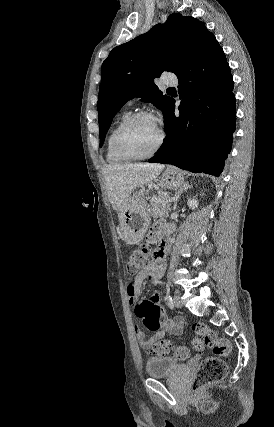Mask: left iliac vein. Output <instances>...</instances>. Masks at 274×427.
Returning a JSON list of instances; mask_svg holds the SVG:
<instances>
[{
  "mask_svg": "<svg viewBox=\"0 0 274 427\" xmlns=\"http://www.w3.org/2000/svg\"><path fill=\"white\" fill-rule=\"evenodd\" d=\"M174 304L177 308H180L182 306V301L178 295L174 296Z\"/></svg>",
  "mask_w": 274,
  "mask_h": 427,
  "instance_id": "obj_1",
  "label": "left iliac vein"
}]
</instances>
